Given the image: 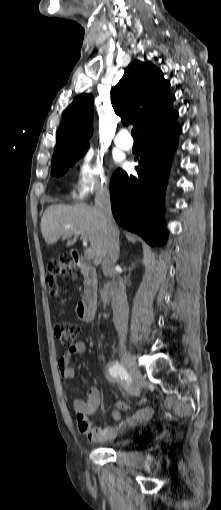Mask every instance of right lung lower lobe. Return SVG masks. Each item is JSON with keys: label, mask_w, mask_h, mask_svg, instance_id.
Returning a JSON list of instances; mask_svg holds the SVG:
<instances>
[{"label": "right lung lower lobe", "mask_w": 221, "mask_h": 510, "mask_svg": "<svg viewBox=\"0 0 221 510\" xmlns=\"http://www.w3.org/2000/svg\"><path fill=\"white\" fill-rule=\"evenodd\" d=\"M173 118L141 133L138 176L117 169L110 181L111 207L116 221L152 246L167 239L163 220L164 190L181 128ZM138 160V158H136Z\"/></svg>", "instance_id": "1"}]
</instances>
